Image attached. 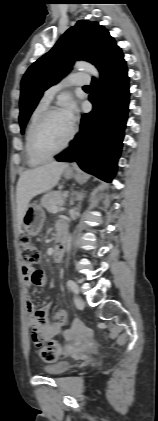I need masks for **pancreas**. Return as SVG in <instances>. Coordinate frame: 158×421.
Masks as SVG:
<instances>
[{
    "label": "pancreas",
    "instance_id": "obj_1",
    "mask_svg": "<svg viewBox=\"0 0 158 421\" xmlns=\"http://www.w3.org/2000/svg\"><path fill=\"white\" fill-rule=\"evenodd\" d=\"M65 198L66 195L61 192H49L41 199V205L45 207L49 212H52V209L54 207H59L64 203Z\"/></svg>",
    "mask_w": 158,
    "mask_h": 421
}]
</instances>
